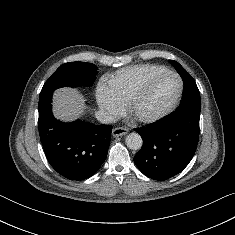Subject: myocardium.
<instances>
[{"mask_svg":"<svg viewBox=\"0 0 235 235\" xmlns=\"http://www.w3.org/2000/svg\"><path fill=\"white\" fill-rule=\"evenodd\" d=\"M165 76L175 77L179 82V90H178V93H177L175 99L172 101V103L168 107H166L164 110H162L161 112H159L155 115H152V116H139V115H137V113H136L137 107L141 103V101L145 98V96L147 95L152 83L155 80H157L161 77H165ZM183 91H184V82H183L182 78L177 73H175L173 71H169V70L156 73V74L150 76L144 82V84L138 90V92L131 98V100L126 105V113L136 123H140V124L155 123V122L165 118L167 115H169L171 112H173L175 110V108L178 106V104L181 101Z\"/></svg>","mask_w":235,"mask_h":235,"instance_id":"f54148a6","label":"myocardium"}]
</instances>
